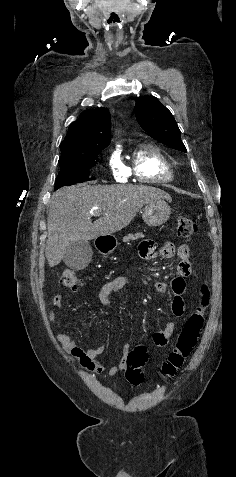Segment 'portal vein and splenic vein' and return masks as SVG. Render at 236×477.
Returning a JSON list of instances; mask_svg holds the SVG:
<instances>
[{"mask_svg":"<svg viewBox=\"0 0 236 477\" xmlns=\"http://www.w3.org/2000/svg\"><path fill=\"white\" fill-rule=\"evenodd\" d=\"M90 215H91V216H100V215H101V212H99V211L90 212Z\"/></svg>","mask_w":236,"mask_h":477,"instance_id":"obj_1","label":"portal vein and splenic vein"}]
</instances>
